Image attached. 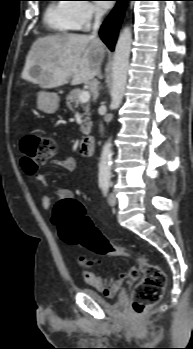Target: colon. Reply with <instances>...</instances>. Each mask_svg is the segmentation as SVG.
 <instances>
[{"label":"colon","instance_id":"obj_1","mask_svg":"<svg viewBox=\"0 0 193 349\" xmlns=\"http://www.w3.org/2000/svg\"><path fill=\"white\" fill-rule=\"evenodd\" d=\"M20 149L25 163L34 170L54 157L57 145L50 137L28 133L22 137ZM53 223L62 240L68 244L81 245L99 255L131 257L136 260L143 276L134 289L131 302L136 314L144 313L160 301L167 281L162 268L130 249L108 240L85 215L80 202L74 199L59 201L54 207ZM80 260L85 266L93 263L84 257Z\"/></svg>","mask_w":193,"mask_h":349}]
</instances>
